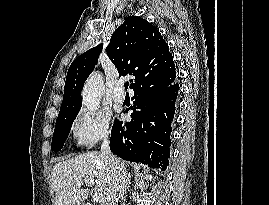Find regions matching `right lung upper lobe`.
Instances as JSON below:
<instances>
[{"label": "right lung upper lobe", "instance_id": "obj_1", "mask_svg": "<svg viewBox=\"0 0 269 205\" xmlns=\"http://www.w3.org/2000/svg\"><path fill=\"white\" fill-rule=\"evenodd\" d=\"M101 51L102 44L86 51L70 65L58 118L79 112L81 89ZM106 51L120 75L135 76L130 85L134 92L175 81V66L167 43L157 28L142 18L127 17L112 34Z\"/></svg>", "mask_w": 269, "mask_h": 205}]
</instances>
